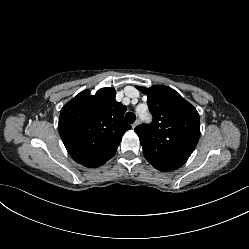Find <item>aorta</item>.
Listing matches in <instances>:
<instances>
[{
  "label": "aorta",
  "instance_id": "762f6f07",
  "mask_svg": "<svg viewBox=\"0 0 249 249\" xmlns=\"http://www.w3.org/2000/svg\"><path fill=\"white\" fill-rule=\"evenodd\" d=\"M141 117H144V114H141Z\"/></svg>",
  "mask_w": 249,
  "mask_h": 249
}]
</instances>
